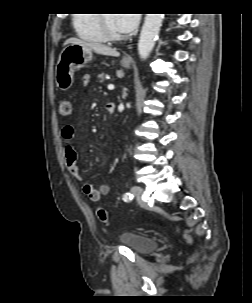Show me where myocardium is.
<instances>
[{
  "mask_svg": "<svg viewBox=\"0 0 252 303\" xmlns=\"http://www.w3.org/2000/svg\"><path fill=\"white\" fill-rule=\"evenodd\" d=\"M99 20L105 39L118 41L125 37L123 33H116L108 26L106 14H99Z\"/></svg>",
  "mask_w": 252,
  "mask_h": 303,
  "instance_id": "myocardium-1",
  "label": "myocardium"
}]
</instances>
